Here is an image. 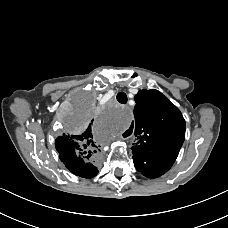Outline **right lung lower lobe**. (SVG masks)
<instances>
[{"label": "right lung lower lobe", "instance_id": "1", "mask_svg": "<svg viewBox=\"0 0 228 228\" xmlns=\"http://www.w3.org/2000/svg\"><path fill=\"white\" fill-rule=\"evenodd\" d=\"M72 173L75 174V170L72 168V170H70ZM97 173H98V170H97ZM76 175V174H75Z\"/></svg>", "mask_w": 228, "mask_h": 228}]
</instances>
